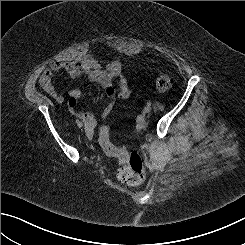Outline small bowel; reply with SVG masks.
Segmentation results:
<instances>
[{"instance_id":"1","label":"small bowel","mask_w":245,"mask_h":245,"mask_svg":"<svg viewBox=\"0 0 245 245\" xmlns=\"http://www.w3.org/2000/svg\"><path fill=\"white\" fill-rule=\"evenodd\" d=\"M65 71L71 77L85 75L89 80L98 83L106 92L108 102L101 113V119H105L112 112L116 100L127 99L130 96V89L126 79L123 76V65L120 61L114 60L106 66L92 56H85L71 61H56L42 74L40 83L43 89L57 102L63 103L65 98L58 93L53 85L54 74L59 71ZM116 84V86H115ZM69 111L79 119L83 120L89 130H92L97 124V117L79 111L77 103L86 96L78 88L68 91Z\"/></svg>"}]
</instances>
